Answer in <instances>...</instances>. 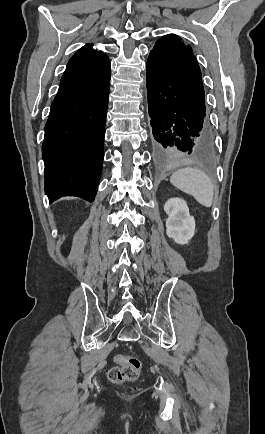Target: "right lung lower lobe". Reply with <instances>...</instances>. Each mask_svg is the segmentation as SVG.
Here are the masks:
<instances>
[{"instance_id":"1","label":"right lung lower lobe","mask_w":265,"mask_h":434,"mask_svg":"<svg viewBox=\"0 0 265 434\" xmlns=\"http://www.w3.org/2000/svg\"><path fill=\"white\" fill-rule=\"evenodd\" d=\"M86 44L69 60L45 125L42 155L50 203L62 196L93 201L104 158L110 62Z\"/></svg>"}]
</instances>
